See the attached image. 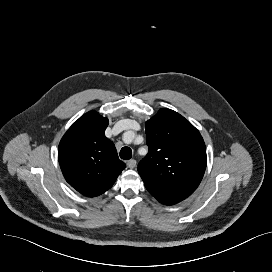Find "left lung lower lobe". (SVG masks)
Instances as JSON below:
<instances>
[{
	"instance_id": "1",
	"label": "left lung lower lobe",
	"mask_w": 272,
	"mask_h": 272,
	"mask_svg": "<svg viewBox=\"0 0 272 272\" xmlns=\"http://www.w3.org/2000/svg\"><path fill=\"white\" fill-rule=\"evenodd\" d=\"M146 188L151 193V195H153L160 203L164 205H173L187 198L184 195L167 190L149 186H146Z\"/></svg>"
}]
</instances>
